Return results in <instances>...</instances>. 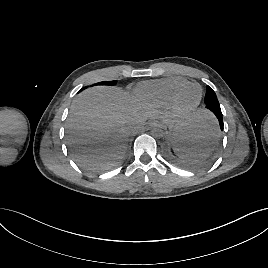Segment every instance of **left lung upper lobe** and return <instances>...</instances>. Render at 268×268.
<instances>
[{
    "label": "left lung upper lobe",
    "instance_id": "5c2ea615",
    "mask_svg": "<svg viewBox=\"0 0 268 268\" xmlns=\"http://www.w3.org/2000/svg\"><path fill=\"white\" fill-rule=\"evenodd\" d=\"M204 102L206 105L220 106L215 92L207 86Z\"/></svg>",
    "mask_w": 268,
    "mask_h": 268
}]
</instances>
